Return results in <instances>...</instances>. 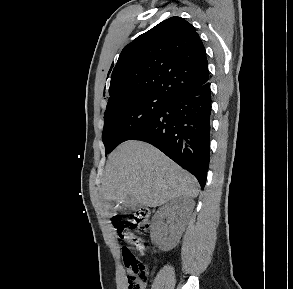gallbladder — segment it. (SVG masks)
<instances>
[{"instance_id": "bac80fb5", "label": "gallbladder", "mask_w": 293, "mask_h": 289, "mask_svg": "<svg viewBox=\"0 0 293 289\" xmlns=\"http://www.w3.org/2000/svg\"><path fill=\"white\" fill-rule=\"evenodd\" d=\"M138 206L139 203L136 201L135 197H133L132 195H128L123 200L120 208H110L109 213L110 215H115L117 213L127 214L135 210Z\"/></svg>"}]
</instances>
